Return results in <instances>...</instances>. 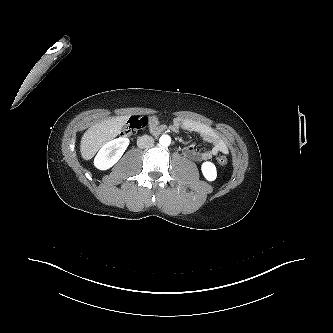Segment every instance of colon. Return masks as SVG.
<instances>
[{
	"mask_svg": "<svg viewBox=\"0 0 333 333\" xmlns=\"http://www.w3.org/2000/svg\"><path fill=\"white\" fill-rule=\"evenodd\" d=\"M149 124V118L140 116H131L122 130V135L130 136L136 133L139 129L146 127ZM216 163L219 166L227 164V158L221 153L216 154Z\"/></svg>",
	"mask_w": 333,
	"mask_h": 333,
	"instance_id": "5ec220e1",
	"label": "colon"
}]
</instances>
